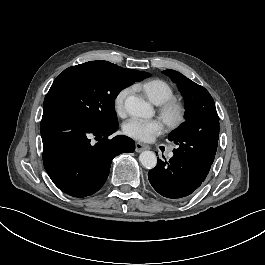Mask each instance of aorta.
<instances>
[{"mask_svg":"<svg viewBox=\"0 0 265 265\" xmlns=\"http://www.w3.org/2000/svg\"><path fill=\"white\" fill-rule=\"evenodd\" d=\"M127 113L135 117H149L152 114L151 106L143 99L129 95L124 100ZM139 161L147 170H152L157 165V157L152 151H144L140 154Z\"/></svg>","mask_w":265,"mask_h":265,"instance_id":"1","label":"aorta"}]
</instances>
